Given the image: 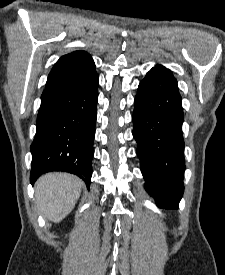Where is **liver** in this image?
<instances>
[{
    "mask_svg": "<svg viewBox=\"0 0 225 275\" xmlns=\"http://www.w3.org/2000/svg\"><path fill=\"white\" fill-rule=\"evenodd\" d=\"M82 186L81 179L68 173L43 175L35 185L38 209L47 220L61 222L73 210Z\"/></svg>",
    "mask_w": 225,
    "mask_h": 275,
    "instance_id": "liver-1",
    "label": "liver"
}]
</instances>
